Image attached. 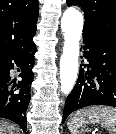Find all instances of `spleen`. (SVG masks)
<instances>
[{"label":"spleen","mask_w":116,"mask_h":134,"mask_svg":"<svg viewBox=\"0 0 116 134\" xmlns=\"http://www.w3.org/2000/svg\"><path fill=\"white\" fill-rule=\"evenodd\" d=\"M86 123L103 124L112 134H116V108L93 106L79 110L68 121L71 134H78V129Z\"/></svg>","instance_id":"1"}]
</instances>
